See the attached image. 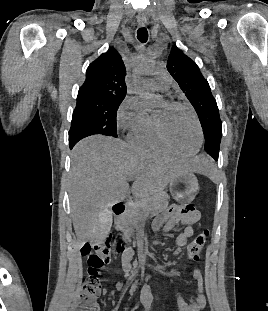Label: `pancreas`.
<instances>
[{"mask_svg": "<svg viewBox=\"0 0 268 311\" xmlns=\"http://www.w3.org/2000/svg\"><path fill=\"white\" fill-rule=\"evenodd\" d=\"M170 197L166 193L155 196L137 199L130 206L127 212L119 217L116 229L123 233V238L129 240L135 230L137 234L143 233L145 219L149 213L157 214L165 210L168 206Z\"/></svg>", "mask_w": 268, "mask_h": 311, "instance_id": "pancreas-1", "label": "pancreas"}]
</instances>
